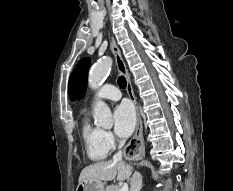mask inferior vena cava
Segmentation results:
<instances>
[{
	"label": "inferior vena cava",
	"instance_id": "obj_1",
	"mask_svg": "<svg viewBox=\"0 0 233 191\" xmlns=\"http://www.w3.org/2000/svg\"><path fill=\"white\" fill-rule=\"evenodd\" d=\"M125 140H121L118 146V151L113 156L114 162L122 161V151L121 148L124 146ZM142 186V176L139 172H134L131 178L130 191H140Z\"/></svg>",
	"mask_w": 233,
	"mask_h": 191
}]
</instances>
